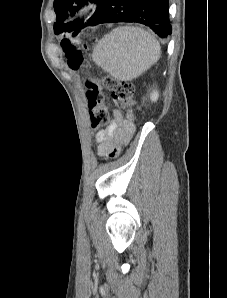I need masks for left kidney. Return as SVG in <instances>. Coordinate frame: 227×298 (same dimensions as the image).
I'll use <instances>...</instances> for the list:
<instances>
[{"label":"left kidney","mask_w":227,"mask_h":298,"mask_svg":"<svg viewBox=\"0 0 227 298\" xmlns=\"http://www.w3.org/2000/svg\"><path fill=\"white\" fill-rule=\"evenodd\" d=\"M158 97H159V93L157 90H153L150 94V100L152 102H156L158 100Z\"/></svg>","instance_id":"1"}]
</instances>
